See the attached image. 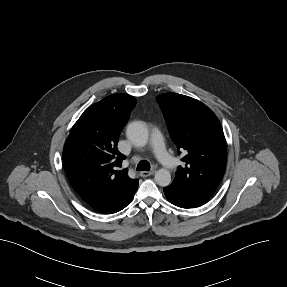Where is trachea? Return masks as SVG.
Here are the masks:
<instances>
[{
	"instance_id": "3493384b",
	"label": "trachea",
	"mask_w": 287,
	"mask_h": 287,
	"mask_svg": "<svg viewBox=\"0 0 287 287\" xmlns=\"http://www.w3.org/2000/svg\"><path fill=\"white\" fill-rule=\"evenodd\" d=\"M137 171H149L150 163L148 161L142 160L137 165Z\"/></svg>"
}]
</instances>
